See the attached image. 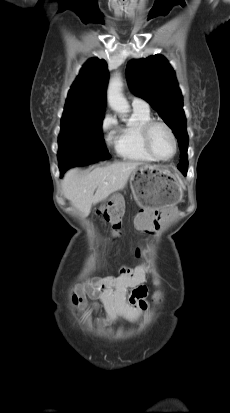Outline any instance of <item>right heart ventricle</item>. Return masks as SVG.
<instances>
[{
    "label": "right heart ventricle",
    "mask_w": 230,
    "mask_h": 413,
    "mask_svg": "<svg viewBox=\"0 0 230 413\" xmlns=\"http://www.w3.org/2000/svg\"><path fill=\"white\" fill-rule=\"evenodd\" d=\"M152 119L149 109L133 107L132 121L119 128L115 138L116 154L126 160L150 163L155 160L144 148L141 130Z\"/></svg>",
    "instance_id": "obj_1"
}]
</instances>
